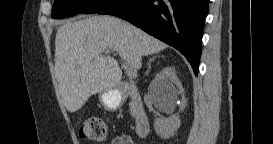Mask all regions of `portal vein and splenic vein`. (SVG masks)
<instances>
[{
  "label": "portal vein and splenic vein",
  "mask_w": 273,
  "mask_h": 144,
  "mask_svg": "<svg viewBox=\"0 0 273 144\" xmlns=\"http://www.w3.org/2000/svg\"><path fill=\"white\" fill-rule=\"evenodd\" d=\"M106 53H109V51H107ZM125 68H126V72H127V75L129 76V78L134 79L137 77L136 71L133 69V67L128 62H125Z\"/></svg>",
  "instance_id": "obj_1"
}]
</instances>
